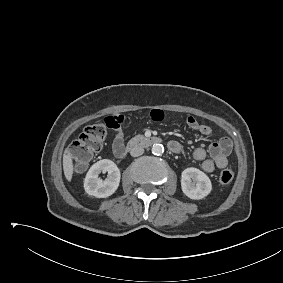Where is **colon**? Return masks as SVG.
<instances>
[{"label": "colon", "mask_w": 283, "mask_h": 283, "mask_svg": "<svg viewBox=\"0 0 283 283\" xmlns=\"http://www.w3.org/2000/svg\"><path fill=\"white\" fill-rule=\"evenodd\" d=\"M106 121L97 122L84 129L78 139L71 146V158L77 170H83L88 165L92 157L102 149L106 134ZM234 178L232 168L221 171L219 181L221 184H229Z\"/></svg>", "instance_id": "5ec220e1"}]
</instances>
